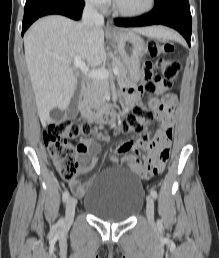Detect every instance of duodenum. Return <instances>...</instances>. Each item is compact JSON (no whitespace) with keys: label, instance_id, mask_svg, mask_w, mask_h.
Returning a JSON list of instances; mask_svg holds the SVG:
<instances>
[{"label":"duodenum","instance_id":"obj_1","mask_svg":"<svg viewBox=\"0 0 219 258\" xmlns=\"http://www.w3.org/2000/svg\"><path fill=\"white\" fill-rule=\"evenodd\" d=\"M88 92H89V86L85 84L82 90V94L84 98L87 97ZM115 116H116V111L114 107L110 103L104 102L100 106L98 112L95 115H92L91 118L98 122H110L114 120Z\"/></svg>","mask_w":219,"mask_h":258}]
</instances>
